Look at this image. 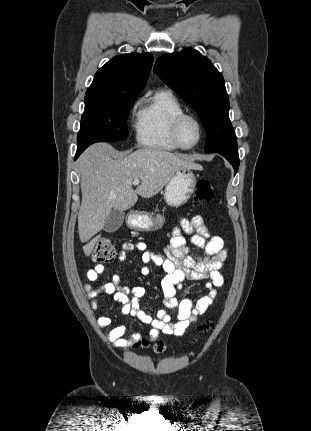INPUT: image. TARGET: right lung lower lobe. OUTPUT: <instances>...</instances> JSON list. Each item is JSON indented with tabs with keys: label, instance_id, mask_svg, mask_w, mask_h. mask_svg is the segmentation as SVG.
<instances>
[{
	"label": "right lung lower lobe",
	"instance_id": "right-lung-lower-lobe-1",
	"mask_svg": "<svg viewBox=\"0 0 311 431\" xmlns=\"http://www.w3.org/2000/svg\"><path fill=\"white\" fill-rule=\"evenodd\" d=\"M88 146L84 145V146H77V152L75 155V160L77 159V157L87 148Z\"/></svg>",
	"mask_w": 311,
	"mask_h": 431
}]
</instances>
